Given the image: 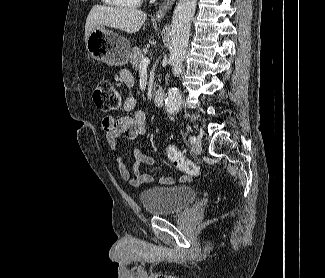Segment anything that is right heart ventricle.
Here are the masks:
<instances>
[{"label": "right heart ventricle", "mask_w": 325, "mask_h": 278, "mask_svg": "<svg viewBox=\"0 0 325 278\" xmlns=\"http://www.w3.org/2000/svg\"><path fill=\"white\" fill-rule=\"evenodd\" d=\"M104 3L118 8H136L141 0H103Z\"/></svg>", "instance_id": "1"}]
</instances>
